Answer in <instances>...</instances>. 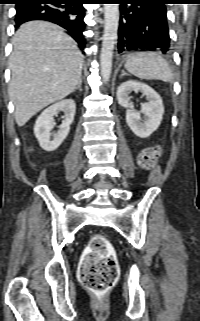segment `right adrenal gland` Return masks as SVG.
Returning <instances> with one entry per match:
<instances>
[{
	"label": "right adrenal gland",
	"mask_w": 200,
	"mask_h": 321,
	"mask_svg": "<svg viewBox=\"0 0 200 321\" xmlns=\"http://www.w3.org/2000/svg\"><path fill=\"white\" fill-rule=\"evenodd\" d=\"M81 85H82V79H80L77 87L73 90V92H75L77 89H79V91H82Z\"/></svg>",
	"instance_id": "obj_1"
}]
</instances>
